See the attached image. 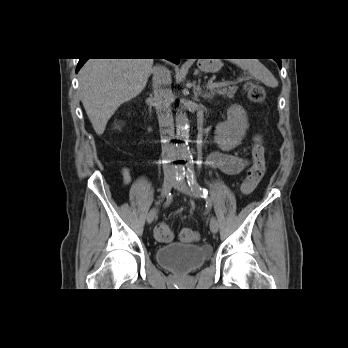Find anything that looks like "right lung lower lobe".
Instances as JSON below:
<instances>
[{
	"mask_svg": "<svg viewBox=\"0 0 348 348\" xmlns=\"http://www.w3.org/2000/svg\"><path fill=\"white\" fill-rule=\"evenodd\" d=\"M168 60L178 64L180 59H168ZM86 61H87V59H79V62H78L77 68H76V72H78L80 70V68L84 65V63Z\"/></svg>",
	"mask_w": 348,
	"mask_h": 348,
	"instance_id": "right-lung-lower-lobe-1",
	"label": "right lung lower lobe"
}]
</instances>
